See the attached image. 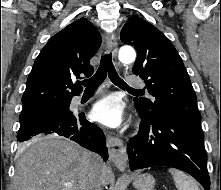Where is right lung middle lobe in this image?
Here are the masks:
<instances>
[{"mask_svg": "<svg viewBox=\"0 0 221 190\" xmlns=\"http://www.w3.org/2000/svg\"><path fill=\"white\" fill-rule=\"evenodd\" d=\"M70 102L71 100H62L23 108L19 116L20 128L51 114L62 111L70 105Z\"/></svg>", "mask_w": 221, "mask_h": 190, "instance_id": "1", "label": "right lung middle lobe"}]
</instances>
